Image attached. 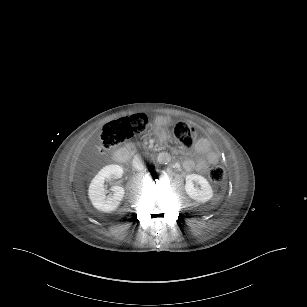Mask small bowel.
I'll list each match as a JSON object with an SVG mask.
<instances>
[{
  "label": "small bowel",
  "mask_w": 307,
  "mask_h": 307,
  "mask_svg": "<svg viewBox=\"0 0 307 307\" xmlns=\"http://www.w3.org/2000/svg\"><path fill=\"white\" fill-rule=\"evenodd\" d=\"M193 154L197 156L195 160L187 159L183 163L187 171L196 170L198 173L204 174L210 165L219 161V154L207 138H201L196 142Z\"/></svg>",
  "instance_id": "1"
}]
</instances>
